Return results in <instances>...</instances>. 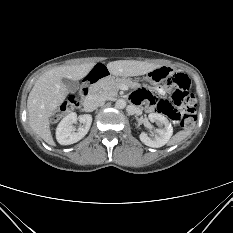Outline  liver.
I'll return each mask as SVG.
<instances>
[{
    "mask_svg": "<svg viewBox=\"0 0 233 233\" xmlns=\"http://www.w3.org/2000/svg\"><path fill=\"white\" fill-rule=\"evenodd\" d=\"M95 63L60 66L42 74L35 82L27 100L29 124L47 144L54 146L49 118L64 102L69 91L62 79L78 81L89 74ZM160 67L142 61L118 60L109 62L107 68L115 76H139Z\"/></svg>",
    "mask_w": 233,
    "mask_h": 233,
    "instance_id": "1",
    "label": "liver"
}]
</instances>
